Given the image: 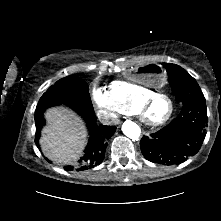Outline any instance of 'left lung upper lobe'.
Listing matches in <instances>:
<instances>
[{
  "instance_id": "obj_1",
  "label": "left lung upper lobe",
  "mask_w": 221,
  "mask_h": 221,
  "mask_svg": "<svg viewBox=\"0 0 221 221\" xmlns=\"http://www.w3.org/2000/svg\"><path fill=\"white\" fill-rule=\"evenodd\" d=\"M168 79L176 99L182 104L194 100L205 99L196 80L178 65L164 64Z\"/></svg>"
}]
</instances>
